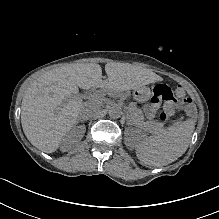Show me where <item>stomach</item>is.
Instances as JSON below:
<instances>
[{"instance_id": "obj_1", "label": "stomach", "mask_w": 219, "mask_h": 219, "mask_svg": "<svg viewBox=\"0 0 219 219\" xmlns=\"http://www.w3.org/2000/svg\"><path fill=\"white\" fill-rule=\"evenodd\" d=\"M149 95V90L146 87H140L136 90V98L138 100H145Z\"/></svg>"}]
</instances>
